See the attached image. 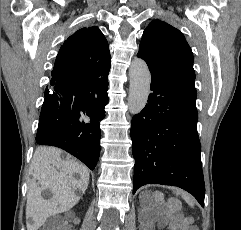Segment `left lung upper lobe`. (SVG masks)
<instances>
[{
	"instance_id": "1",
	"label": "left lung upper lobe",
	"mask_w": 241,
	"mask_h": 230,
	"mask_svg": "<svg viewBox=\"0 0 241 230\" xmlns=\"http://www.w3.org/2000/svg\"><path fill=\"white\" fill-rule=\"evenodd\" d=\"M151 74L195 87L193 54L181 31L156 19L144 30L137 54Z\"/></svg>"
}]
</instances>
